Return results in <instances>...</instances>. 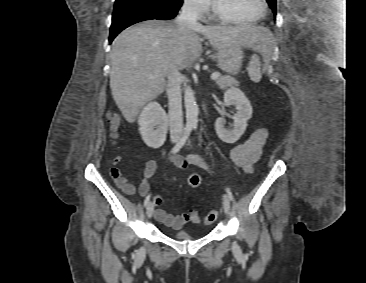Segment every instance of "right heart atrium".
<instances>
[{
	"label": "right heart atrium",
	"mask_w": 366,
	"mask_h": 283,
	"mask_svg": "<svg viewBox=\"0 0 366 283\" xmlns=\"http://www.w3.org/2000/svg\"><path fill=\"white\" fill-rule=\"evenodd\" d=\"M185 9L196 17H203L209 10L210 0H184Z\"/></svg>",
	"instance_id": "1"
}]
</instances>
